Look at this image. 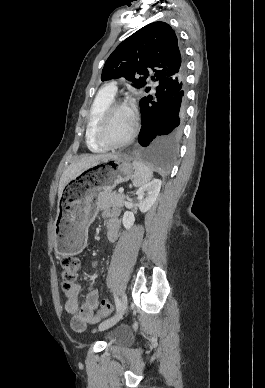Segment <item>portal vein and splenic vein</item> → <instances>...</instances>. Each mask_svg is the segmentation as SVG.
Returning <instances> with one entry per match:
<instances>
[{"instance_id": "obj_1", "label": "portal vein and splenic vein", "mask_w": 265, "mask_h": 388, "mask_svg": "<svg viewBox=\"0 0 265 388\" xmlns=\"http://www.w3.org/2000/svg\"><path fill=\"white\" fill-rule=\"evenodd\" d=\"M118 192L121 194V192H124V188H119Z\"/></svg>"}]
</instances>
